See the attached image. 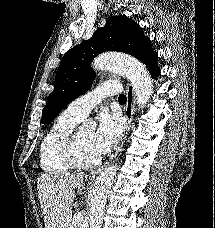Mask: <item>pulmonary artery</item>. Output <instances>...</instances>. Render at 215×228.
Instances as JSON below:
<instances>
[{"label": "pulmonary artery", "mask_w": 215, "mask_h": 228, "mask_svg": "<svg viewBox=\"0 0 215 228\" xmlns=\"http://www.w3.org/2000/svg\"><path fill=\"white\" fill-rule=\"evenodd\" d=\"M99 88L71 102L67 107V111L79 119H83L105 97L116 93L118 96H123L126 93V88H123V84H120V82H107V84H100Z\"/></svg>", "instance_id": "1"}]
</instances>
